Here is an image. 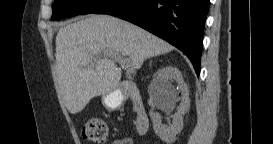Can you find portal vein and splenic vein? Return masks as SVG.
<instances>
[{"label":"portal vein and splenic vein","mask_w":273,"mask_h":144,"mask_svg":"<svg viewBox=\"0 0 273 144\" xmlns=\"http://www.w3.org/2000/svg\"><path fill=\"white\" fill-rule=\"evenodd\" d=\"M108 58L115 60L116 62L120 63L123 67H125L128 71L131 70V61L129 58H124L122 54L117 52H109L107 53Z\"/></svg>","instance_id":"obj_1"}]
</instances>
